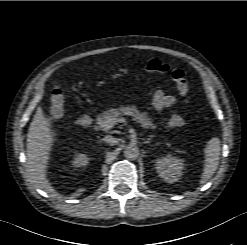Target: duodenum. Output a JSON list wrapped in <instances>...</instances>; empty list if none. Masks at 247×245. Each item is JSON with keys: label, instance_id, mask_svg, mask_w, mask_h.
<instances>
[{"label": "duodenum", "instance_id": "obj_1", "mask_svg": "<svg viewBox=\"0 0 247 245\" xmlns=\"http://www.w3.org/2000/svg\"><path fill=\"white\" fill-rule=\"evenodd\" d=\"M91 122H92L91 116L87 113H84L78 117L76 124L81 128H86L90 126Z\"/></svg>", "mask_w": 247, "mask_h": 245}]
</instances>
